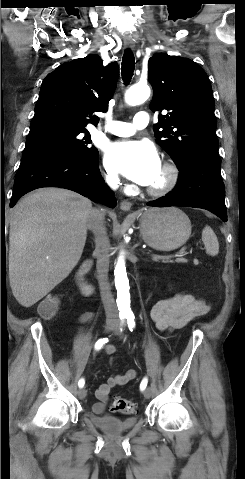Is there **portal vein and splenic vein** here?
I'll return each instance as SVG.
<instances>
[{
	"label": "portal vein and splenic vein",
	"instance_id": "1",
	"mask_svg": "<svg viewBox=\"0 0 245 479\" xmlns=\"http://www.w3.org/2000/svg\"><path fill=\"white\" fill-rule=\"evenodd\" d=\"M186 254H187L186 249L182 248L178 252H176L175 254H172V255L160 256V255L152 254L151 256H152L153 259H170L172 257H183Z\"/></svg>",
	"mask_w": 245,
	"mask_h": 479
}]
</instances>
